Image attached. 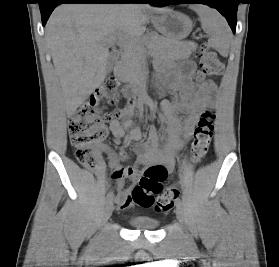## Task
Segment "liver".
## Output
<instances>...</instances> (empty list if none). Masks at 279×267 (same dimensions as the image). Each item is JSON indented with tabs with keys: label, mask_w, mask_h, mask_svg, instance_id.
I'll list each match as a JSON object with an SVG mask.
<instances>
[{
	"label": "liver",
	"mask_w": 279,
	"mask_h": 267,
	"mask_svg": "<svg viewBox=\"0 0 279 267\" xmlns=\"http://www.w3.org/2000/svg\"><path fill=\"white\" fill-rule=\"evenodd\" d=\"M165 8L128 4H64L51 14L46 40L60 80L67 115L98 88L106 76L110 57L105 39L121 33L139 37L149 19L146 11Z\"/></svg>",
	"instance_id": "1"
}]
</instances>
